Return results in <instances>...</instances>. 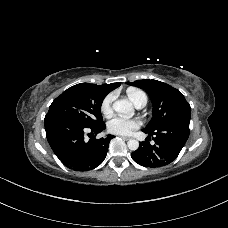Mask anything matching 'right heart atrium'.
Masks as SVG:
<instances>
[{
  "mask_svg": "<svg viewBox=\"0 0 228 228\" xmlns=\"http://www.w3.org/2000/svg\"><path fill=\"white\" fill-rule=\"evenodd\" d=\"M114 101V94L110 93L104 97L101 102V111L104 115H109L112 111V103Z\"/></svg>",
  "mask_w": 228,
  "mask_h": 228,
  "instance_id": "1",
  "label": "right heart atrium"
}]
</instances>
